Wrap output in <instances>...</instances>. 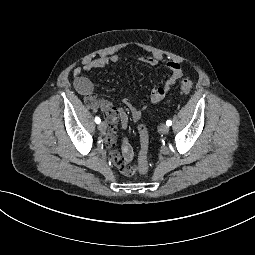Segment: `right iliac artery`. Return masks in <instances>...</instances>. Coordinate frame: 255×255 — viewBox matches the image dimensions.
<instances>
[{
    "label": "right iliac artery",
    "instance_id": "right-iliac-artery-1",
    "mask_svg": "<svg viewBox=\"0 0 255 255\" xmlns=\"http://www.w3.org/2000/svg\"><path fill=\"white\" fill-rule=\"evenodd\" d=\"M95 122H96L97 124H99V123L101 122V119H100L99 117H96V118H95Z\"/></svg>",
    "mask_w": 255,
    "mask_h": 255
}]
</instances>
